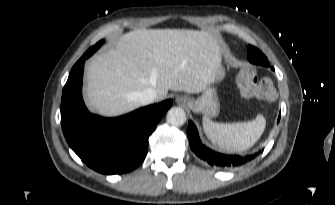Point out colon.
<instances>
[{"label":"colon","instance_id":"colon-1","mask_svg":"<svg viewBox=\"0 0 335 205\" xmlns=\"http://www.w3.org/2000/svg\"><path fill=\"white\" fill-rule=\"evenodd\" d=\"M236 83L246 97L268 100L275 96L273 83L269 79L258 80L255 71L250 67H244L238 72Z\"/></svg>","mask_w":335,"mask_h":205}]
</instances>
